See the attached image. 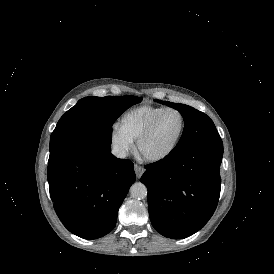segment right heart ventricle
Wrapping results in <instances>:
<instances>
[{"label": "right heart ventricle", "mask_w": 274, "mask_h": 274, "mask_svg": "<svg viewBox=\"0 0 274 274\" xmlns=\"http://www.w3.org/2000/svg\"><path fill=\"white\" fill-rule=\"evenodd\" d=\"M162 109L161 106L149 104L132 107L121 115L118 127L128 139L136 141L151 119Z\"/></svg>", "instance_id": "right-heart-ventricle-1"}]
</instances>
